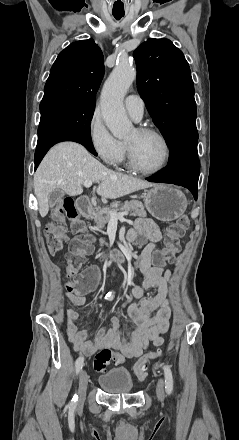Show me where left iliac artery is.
<instances>
[{
	"label": "left iliac artery",
	"instance_id": "44dca946",
	"mask_svg": "<svg viewBox=\"0 0 239 440\" xmlns=\"http://www.w3.org/2000/svg\"><path fill=\"white\" fill-rule=\"evenodd\" d=\"M165 389L167 394H171L173 390V376L169 366H164Z\"/></svg>",
	"mask_w": 239,
	"mask_h": 440
}]
</instances>
